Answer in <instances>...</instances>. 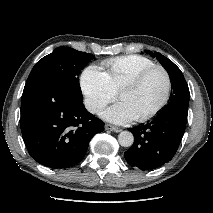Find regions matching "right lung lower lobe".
Instances as JSON below:
<instances>
[{"instance_id": "98d812e1", "label": "right lung lower lobe", "mask_w": 213, "mask_h": 213, "mask_svg": "<svg viewBox=\"0 0 213 213\" xmlns=\"http://www.w3.org/2000/svg\"><path fill=\"white\" fill-rule=\"evenodd\" d=\"M104 123L89 113L83 99L47 79L27 82L21 101V132L31 157L54 168H69L85 156Z\"/></svg>"}]
</instances>
